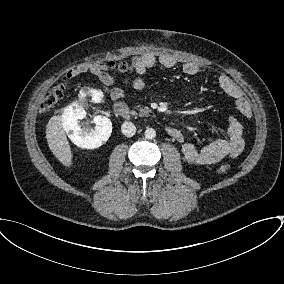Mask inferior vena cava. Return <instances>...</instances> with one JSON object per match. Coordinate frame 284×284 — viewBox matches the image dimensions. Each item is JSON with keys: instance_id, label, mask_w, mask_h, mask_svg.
I'll use <instances>...</instances> for the list:
<instances>
[{"instance_id": "obj_1", "label": "inferior vena cava", "mask_w": 284, "mask_h": 284, "mask_svg": "<svg viewBox=\"0 0 284 284\" xmlns=\"http://www.w3.org/2000/svg\"><path fill=\"white\" fill-rule=\"evenodd\" d=\"M121 131L125 136L132 137L136 133V127L132 122H124Z\"/></svg>"}]
</instances>
